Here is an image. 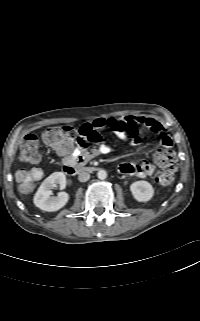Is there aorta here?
<instances>
[{"label": "aorta", "instance_id": "aorta-1", "mask_svg": "<svg viewBox=\"0 0 200 321\" xmlns=\"http://www.w3.org/2000/svg\"><path fill=\"white\" fill-rule=\"evenodd\" d=\"M97 177L100 180H104V179L107 178V172L105 170H99L98 173H97Z\"/></svg>", "mask_w": 200, "mask_h": 321}]
</instances>
